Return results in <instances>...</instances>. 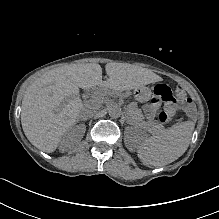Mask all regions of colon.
<instances>
[{"mask_svg":"<svg viewBox=\"0 0 219 219\" xmlns=\"http://www.w3.org/2000/svg\"><path fill=\"white\" fill-rule=\"evenodd\" d=\"M175 98L181 102L189 100L185 89L181 85L175 87L172 99L166 102L164 109L159 113L158 119L161 123H168L173 119L176 111Z\"/></svg>","mask_w":219,"mask_h":219,"instance_id":"5ec220e1","label":"colon"}]
</instances>
